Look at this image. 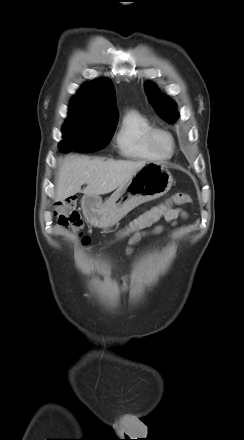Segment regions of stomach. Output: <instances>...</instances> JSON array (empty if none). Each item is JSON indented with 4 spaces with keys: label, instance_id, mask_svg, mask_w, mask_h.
Returning a JSON list of instances; mask_svg holds the SVG:
<instances>
[{
    "label": "stomach",
    "instance_id": "obj_1",
    "mask_svg": "<svg viewBox=\"0 0 244 440\" xmlns=\"http://www.w3.org/2000/svg\"><path fill=\"white\" fill-rule=\"evenodd\" d=\"M173 177L164 163L147 162L120 186L106 201L99 196L85 195L82 208L94 227L108 228L120 221L135 207L165 195Z\"/></svg>",
    "mask_w": 244,
    "mask_h": 440
}]
</instances>
